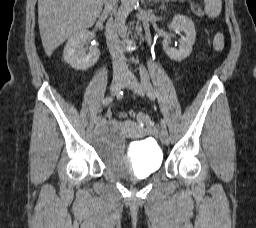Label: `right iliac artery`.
<instances>
[{"label":"right iliac artery","instance_id":"82829eb1","mask_svg":"<svg viewBox=\"0 0 256 228\" xmlns=\"http://www.w3.org/2000/svg\"><path fill=\"white\" fill-rule=\"evenodd\" d=\"M122 95H123V91H120V92H119V96H122ZM113 99H114V98H113L112 96L106 97V98L103 100L102 104H103L104 106H107V105H109V104L113 101ZM100 122H102V119H101V116L99 115V116L96 117L95 123L98 124V123H100Z\"/></svg>","mask_w":256,"mask_h":228}]
</instances>
